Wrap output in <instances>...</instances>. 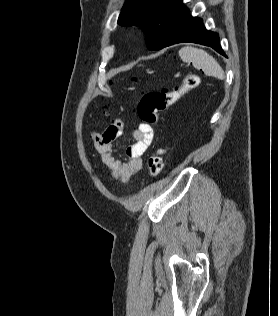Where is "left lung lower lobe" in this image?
Instances as JSON below:
<instances>
[{"mask_svg": "<svg viewBox=\"0 0 278 316\" xmlns=\"http://www.w3.org/2000/svg\"><path fill=\"white\" fill-rule=\"evenodd\" d=\"M192 42L212 47L221 55L225 56L217 33L206 30L201 18L192 17L189 9L183 15L175 33L164 47L178 44ZM163 47V48H164Z\"/></svg>", "mask_w": 278, "mask_h": 316, "instance_id": "1", "label": "left lung lower lobe"}]
</instances>
